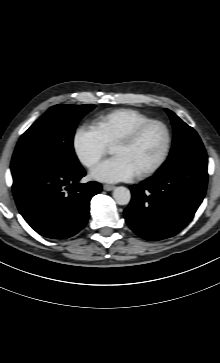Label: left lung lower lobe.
<instances>
[{"mask_svg":"<svg viewBox=\"0 0 220 363\" xmlns=\"http://www.w3.org/2000/svg\"><path fill=\"white\" fill-rule=\"evenodd\" d=\"M207 179V155L187 156L161 167L153 177L130 186L132 200L124 211L127 224L150 241L176 235L201 204Z\"/></svg>","mask_w":220,"mask_h":363,"instance_id":"obj_1","label":"left lung lower lobe"}]
</instances>
